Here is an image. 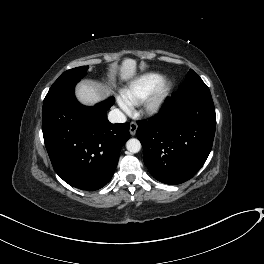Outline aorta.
<instances>
[{"mask_svg":"<svg viewBox=\"0 0 264 264\" xmlns=\"http://www.w3.org/2000/svg\"><path fill=\"white\" fill-rule=\"evenodd\" d=\"M126 148L130 153H137L141 149V143L138 139L131 138L127 141Z\"/></svg>","mask_w":264,"mask_h":264,"instance_id":"762f6f07","label":"aorta"}]
</instances>
